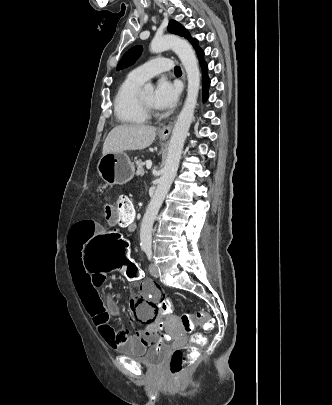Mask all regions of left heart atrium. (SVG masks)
Listing matches in <instances>:
<instances>
[{
  "instance_id": "1",
  "label": "left heart atrium",
  "mask_w": 332,
  "mask_h": 405,
  "mask_svg": "<svg viewBox=\"0 0 332 405\" xmlns=\"http://www.w3.org/2000/svg\"><path fill=\"white\" fill-rule=\"evenodd\" d=\"M179 96V88L176 84L160 79L154 92V107L159 110H169L175 106Z\"/></svg>"
}]
</instances>
